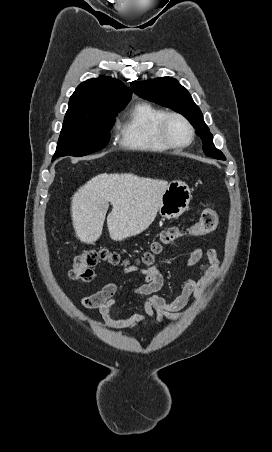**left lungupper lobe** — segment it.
Here are the masks:
<instances>
[{
  "label": "left lung upper lobe",
  "mask_w": 272,
  "mask_h": 452,
  "mask_svg": "<svg viewBox=\"0 0 272 452\" xmlns=\"http://www.w3.org/2000/svg\"><path fill=\"white\" fill-rule=\"evenodd\" d=\"M132 90L140 97L173 109L183 114L196 128L203 141L204 153L212 158L225 160L223 153L213 144V136L203 120L199 107L189 92L172 77L157 78L142 82H132Z\"/></svg>",
  "instance_id": "left-lung-upper-lobe-1"
}]
</instances>
